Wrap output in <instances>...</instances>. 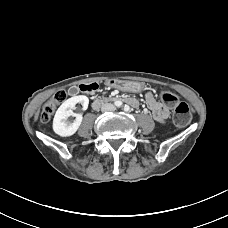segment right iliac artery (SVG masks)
Returning a JSON list of instances; mask_svg holds the SVG:
<instances>
[{"label": "right iliac artery", "mask_w": 228, "mask_h": 228, "mask_svg": "<svg viewBox=\"0 0 228 228\" xmlns=\"http://www.w3.org/2000/svg\"><path fill=\"white\" fill-rule=\"evenodd\" d=\"M115 106H117V107L122 106V102H121V101H116V102H115Z\"/></svg>", "instance_id": "82829eb1"}]
</instances>
